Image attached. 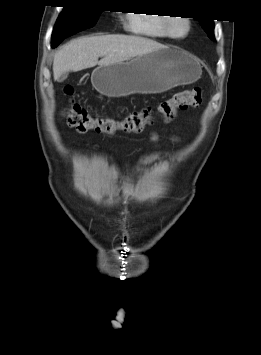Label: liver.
<instances>
[{
    "label": "liver",
    "instance_id": "6515ba94",
    "mask_svg": "<svg viewBox=\"0 0 261 355\" xmlns=\"http://www.w3.org/2000/svg\"><path fill=\"white\" fill-rule=\"evenodd\" d=\"M164 47L145 37L133 35L85 36L71 40L54 56V80L66 72L130 60ZM99 57L101 60L99 61Z\"/></svg>",
    "mask_w": 261,
    "mask_h": 355
}]
</instances>
